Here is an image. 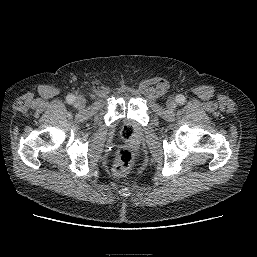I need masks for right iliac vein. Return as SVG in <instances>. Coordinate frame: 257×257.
<instances>
[{"label":"right iliac vein","mask_w":257,"mask_h":257,"mask_svg":"<svg viewBox=\"0 0 257 257\" xmlns=\"http://www.w3.org/2000/svg\"><path fill=\"white\" fill-rule=\"evenodd\" d=\"M85 104H86V100L83 96L79 95L76 97V99H75V107L76 108L81 109L85 106Z\"/></svg>","instance_id":"obj_1"}]
</instances>
